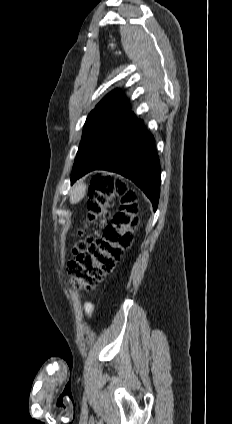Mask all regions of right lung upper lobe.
Wrapping results in <instances>:
<instances>
[{
    "instance_id": "right-lung-upper-lobe-1",
    "label": "right lung upper lobe",
    "mask_w": 232,
    "mask_h": 424,
    "mask_svg": "<svg viewBox=\"0 0 232 424\" xmlns=\"http://www.w3.org/2000/svg\"><path fill=\"white\" fill-rule=\"evenodd\" d=\"M100 108H129V105L123 94L115 90L103 98L95 109Z\"/></svg>"
}]
</instances>
